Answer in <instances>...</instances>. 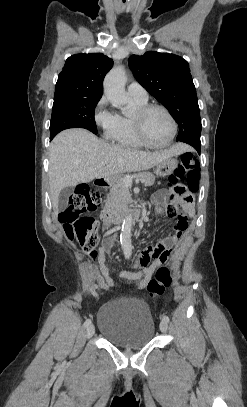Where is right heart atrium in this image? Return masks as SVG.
<instances>
[{
	"mask_svg": "<svg viewBox=\"0 0 247 407\" xmlns=\"http://www.w3.org/2000/svg\"><path fill=\"white\" fill-rule=\"evenodd\" d=\"M93 117L95 124L101 129L104 136L109 137L116 124L117 114L108 108L106 96H102L97 102Z\"/></svg>",
	"mask_w": 247,
	"mask_h": 407,
	"instance_id": "obj_1",
	"label": "right heart atrium"
}]
</instances>
